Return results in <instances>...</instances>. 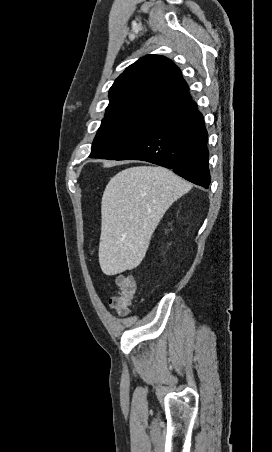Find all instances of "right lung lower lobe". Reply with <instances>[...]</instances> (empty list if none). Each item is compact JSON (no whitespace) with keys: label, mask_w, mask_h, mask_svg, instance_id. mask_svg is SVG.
Listing matches in <instances>:
<instances>
[{"label":"right lung lower lobe","mask_w":272,"mask_h":452,"mask_svg":"<svg viewBox=\"0 0 272 452\" xmlns=\"http://www.w3.org/2000/svg\"><path fill=\"white\" fill-rule=\"evenodd\" d=\"M207 130L194 101L160 115L146 132L115 160H142L173 171L209 188Z\"/></svg>","instance_id":"right-lung-lower-lobe-1"}]
</instances>
